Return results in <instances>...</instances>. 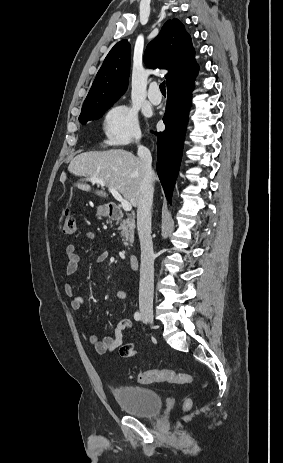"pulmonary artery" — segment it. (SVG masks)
<instances>
[{
    "instance_id": "1",
    "label": "pulmonary artery",
    "mask_w": 283,
    "mask_h": 463,
    "mask_svg": "<svg viewBox=\"0 0 283 463\" xmlns=\"http://www.w3.org/2000/svg\"><path fill=\"white\" fill-rule=\"evenodd\" d=\"M148 100L153 105H158L162 100V97L159 94L158 85L156 83H152L150 85V88H149V91H148Z\"/></svg>"
}]
</instances>
